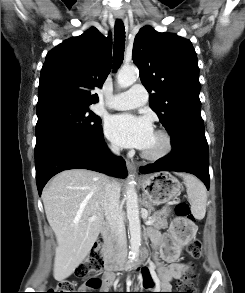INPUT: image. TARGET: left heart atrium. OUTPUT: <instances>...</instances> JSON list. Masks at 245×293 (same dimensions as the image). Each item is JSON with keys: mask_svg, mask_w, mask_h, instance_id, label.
Instances as JSON below:
<instances>
[{"mask_svg": "<svg viewBox=\"0 0 245 293\" xmlns=\"http://www.w3.org/2000/svg\"><path fill=\"white\" fill-rule=\"evenodd\" d=\"M105 133L110 140L122 147L143 150L149 144L154 131L147 118L122 114L107 118Z\"/></svg>", "mask_w": 245, "mask_h": 293, "instance_id": "obj_1", "label": "left heart atrium"}]
</instances>
